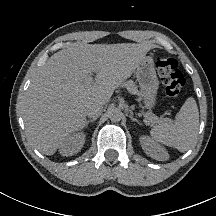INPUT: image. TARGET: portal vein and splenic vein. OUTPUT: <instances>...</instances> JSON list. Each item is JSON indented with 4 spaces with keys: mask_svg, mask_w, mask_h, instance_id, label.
<instances>
[{
    "mask_svg": "<svg viewBox=\"0 0 216 216\" xmlns=\"http://www.w3.org/2000/svg\"><path fill=\"white\" fill-rule=\"evenodd\" d=\"M93 71L96 72L97 69H94ZM92 83H93V79H92L91 77L87 78L86 81H85V84H86V85H90V84H92ZM139 115L141 116V114H139ZM166 120H169V118L161 119V120L158 121V122L166 121Z\"/></svg>",
    "mask_w": 216,
    "mask_h": 216,
    "instance_id": "portal-vein-and-splenic-vein-1",
    "label": "portal vein and splenic vein"
}]
</instances>
